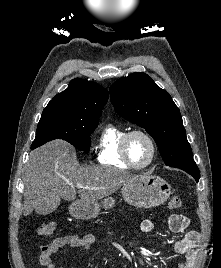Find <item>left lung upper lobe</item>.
Instances as JSON below:
<instances>
[{"instance_id": "1", "label": "left lung upper lobe", "mask_w": 221, "mask_h": 268, "mask_svg": "<svg viewBox=\"0 0 221 268\" xmlns=\"http://www.w3.org/2000/svg\"><path fill=\"white\" fill-rule=\"evenodd\" d=\"M109 92L116 112L153 137L167 166L196 164L178 107L147 74L135 72L120 78Z\"/></svg>"}]
</instances>
